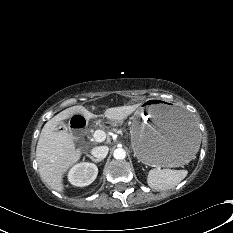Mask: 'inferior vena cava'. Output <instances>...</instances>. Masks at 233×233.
Here are the masks:
<instances>
[{
    "mask_svg": "<svg viewBox=\"0 0 233 233\" xmlns=\"http://www.w3.org/2000/svg\"><path fill=\"white\" fill-rule=\"evenodd\" d=\"M109 148L107 146H98L92 149L91 153L97 159H104L108 154Z\"/></svg>",
    "mask_w": 233,
    "mask_h": 233,
    "instance_id": "inferior-vena-cava-1",
    "label": "inferior vena cava"
}]
</instances>
